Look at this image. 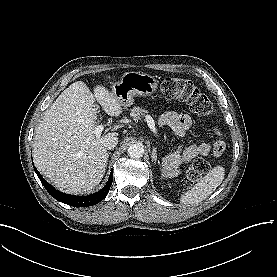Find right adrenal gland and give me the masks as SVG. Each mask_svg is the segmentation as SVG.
I'll list each match as a JSON object with an SVG mask.
<instances>
[{"mask_svg": "<svg viewBox=\"0 0 277 277\" xmlns=\"http://www.w3.org/2000/svg\"><path fill=\"white\" fill-rule=\"evenodd\" d=\"M109 155H110V152H108V153H107L106 167H107V164H108V158H109Z\"/></svg>", "mask_w": 277, "mask_h": 277, "instance_id": "obj_1", "label": "right adrenal gland"}]
</instances>
